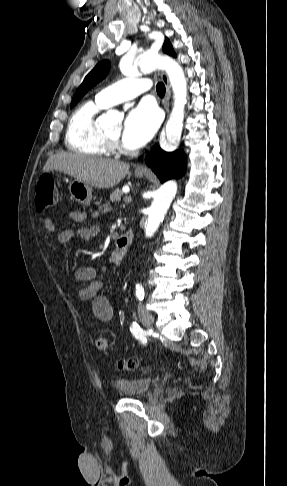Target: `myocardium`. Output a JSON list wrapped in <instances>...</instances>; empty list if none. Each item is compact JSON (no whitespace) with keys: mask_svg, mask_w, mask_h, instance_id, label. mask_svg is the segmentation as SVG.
Listing matches in <instances>:
<instances>
[{"mask_svg":"<svg viewBox=\"0 0 287 486\" xmlns=\"http://www.w3.org/2000/svg\"><path fill=\"white\" fill-rule=\"evenodd\" d=\"M105 139L108 142L109 145L111 146H116L117 145V140H114L110 138L109 136L105 135Z\"/></svg>","mask_w":287,"mask_h":486,"instance_id":"obj_1","label":"myocardium"}]
</instances>
